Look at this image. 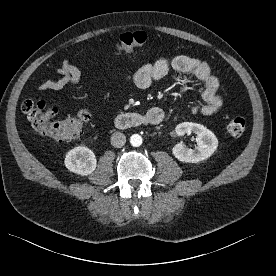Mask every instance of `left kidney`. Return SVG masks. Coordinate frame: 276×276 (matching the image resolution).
<instances>
[{
	"instance_id": "1",
	"label": "left kidney",
	"mask_w": 276,
	"mask_h": 276,
	"mask_svg": "<svg viewBox=\"0 0 276 276\" xmlns=\"http://www.w3.org/2000/svg\"><path fill=\"white\" fill-rule=\"evenodd\" d=\"M175 131L179 136L191 133L197 135L195 150L187 149L182 142L173 147V155L181 162L198 163L203 161L209 158L218 147L215 134L201 124L184 122L177 125Z\"/></svg>"
}]
</instances>
